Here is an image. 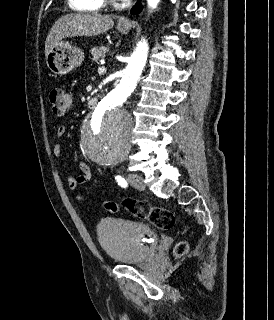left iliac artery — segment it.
<instances>
[{
  "instance_id": "obj_1",
  "label": "left iliac artery",
  "mask_w": 274,
  "mask_h": 320,
  "mask_svg": "<svg viewBox=\"0 0 274 320\" xmlns=\"http://www.w3.org/2000/svg\"><path fill=\"white\" fill-rule=\"evenodd\" d=\"M115 179H116L117 183H118L121 187H123V188L127 187L128 183H127V181H126L123 177H121V176H116Z\"/></svg>"
}]
</instances>
